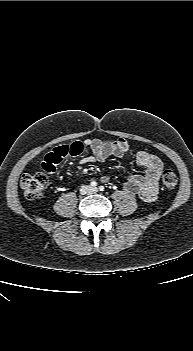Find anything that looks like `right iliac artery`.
<instances>
[{
    "instance_id": "right-iliac-artery-1",
    "label": "right iliac artery",
    "mask_w": 193,
    "mask_h": 351,
    "mask_svg": "<svg viewBox=\"0 0 193 351\" xmlns=\"http://www.w3.org/2000/svg\"><path fill=\"white\" fill-rule=\"evenodd\" d=\"M90 185H91L92 187H96V186H97V183H96L95 181H92V182L90 183Z\"/></svg>"
}]
</instances>
